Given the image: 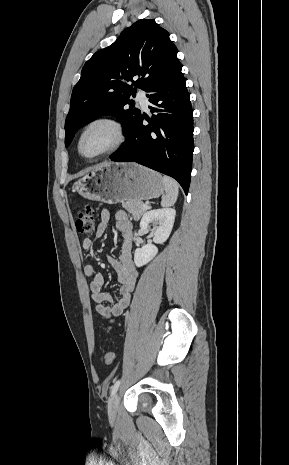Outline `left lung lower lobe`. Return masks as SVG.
Returning <instances> with one entry per match:
<instances>
[{"label": "left lung lower lobe", "mask_w": 289, "mask_h": 465, "mask_svg": "<svg viewBox=\"0 0 289 465\" xmlns=\"http://www.w3.org/2000/svg\"><path fill=\"white\" fill-rule=\"evenodd\" d=\"M179 66L148 88L152 120L143 115L130 128L125 144L109 158L134 161L176 179L187 194L191 177L193 113L185 79Z\"/></svg>", "instance_id": "obj_1"}]
</instances>
